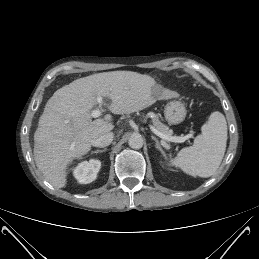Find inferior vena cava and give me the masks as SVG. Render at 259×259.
<instances>
[{
	"label": "inferior vena cava",
	"mask_w": 259,
	"mask_h": 259,
	"mask_svg": "<svg viewBox=\"0 0 259 259\" xmlns=\"http://www.w3.org/2000/svg\"><path fill=\"white\" fill-rule=\"evenodd\" d=\"M113 137L114 135L112 132L103 133L92 140V145L95 147H107L113 141Z\"/></svg>",
	"instance_id": "obj_1"
}]
</instances>
